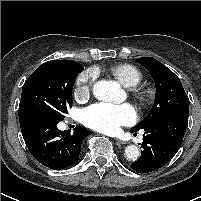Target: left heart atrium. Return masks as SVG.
I'll return each mask as SVG.
<instances>
[{
    "instance_id": "obj_1",
    "label": "left heart atrium",
    "mask_w": 201,
    "mask_h": 201,
    "mask_svg": "<svg viewBox=\"0 0 201 201\" xmlns=\"http://www.w3.org/2000/svg\"><path fill=\"white\" fill-rule=\"evenodd\" d=\"M82 120L88 127L103 133H115L121 126L136 120V112L129 104L97 103L84 109Z\"/></svg>"
}]
</instances>
